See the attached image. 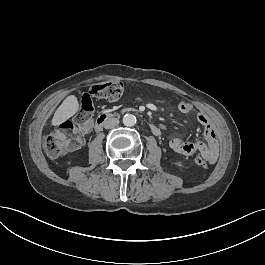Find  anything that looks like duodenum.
<instances>
[{
  "instance_id": "410a0bca",
  "label": "duodenum",
  "mask_w": 265,
  "mask_h": 265,
  "mask_svg": "<svg viewBox=\"0 0 265 265\" xmlns=\"http://www.w3.org/2000/svg\"><path fill=\"white\" fill-rule=\"evenodd\" d=\"M113 116L112 113H103L97 116L96 120H95V125H94V129H96L98 132L102 129L104 123ZM149 128L151 130V132L156 135V136H160L161 135V130L160 128L154 124V123H149Z\"/></svg>"
}]
</instances>
